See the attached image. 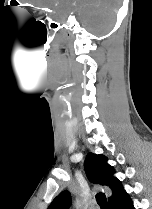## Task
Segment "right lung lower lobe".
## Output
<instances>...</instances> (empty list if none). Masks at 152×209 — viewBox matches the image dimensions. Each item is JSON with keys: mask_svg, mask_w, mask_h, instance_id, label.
Listing matches in <instances>:
<instances>
[{"mask_svg": "<svg viewBox=\"0 0 152 209\" xmlns=\"http://www.w3.org/2000/svg\"><path fill=\"white\" fill-rule=\"evenodd\" d=\"M110 209H135L129 195L122 188L110 201Z\"/></svg>", "mask_w": 152, "mask_h": 209, "instance_id": "obj_1", "label": "right lung lower lobe"}]
</instances>
